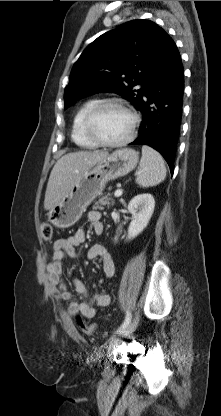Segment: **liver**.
Here are the masks:
<instances>
[{
  "mask_svg": "<svg viewBox=\"0 0 221 416\" xmlns=\"http://www.w3.org/2000/svg\"><path fill=\"white\" fill-rule=\"evenodd\" d=\"M108 155V152L102 151H79L62 156L51 171L45 193L44 209L51 210L57 205L85 171Z\"/></svg>",
  "mask_w": 221,
  "mask_h": 416,
  "instance_id": "1",
  "label": "liver"
}]
</instances>
